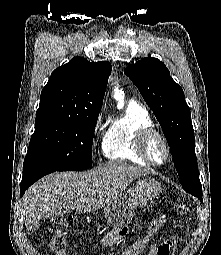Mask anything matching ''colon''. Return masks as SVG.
Here are the masks:
<instances>
[{"label": "colon", "instance_id": "5ec220e1", "mask_svg": "<svg viewBox=\"0 0 221 255\" xmlns=\"http://www.w3.org/2000/svg\"><path fill=\"white\" fill-rule=\"evenodd\" d=\"M176 212L181 216L189 213V206L186 202H179L176 205ZM166 222L164 215L152 221L148 226V233L155 234ZM74 218L68 211H60L52 217V224L46 226V233L50 235L47 244L54 255H67L68 242L62 229L69 228L73 225ZM53 224H57L60 228L54 229Z\"/></svg>", "mask_w": 221, "mask_h": 255}]
</instances>
